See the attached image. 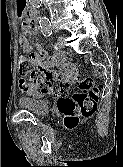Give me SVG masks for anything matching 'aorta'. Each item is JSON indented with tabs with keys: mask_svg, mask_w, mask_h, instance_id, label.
<instances>
[{
	"mask_svg": "<svg viewBox=\"0 0 123 167\" xmlns=\"http://www.w3.org/2000/svg\"><path fill=\"white\" fill-rule=\"evenodd\" d=\"M32 4L36 7H40L42 5V0H31ZM39 25L41 28V32L48 34L51 32V24L46 17H41L39 20Z\"/></svg>",
	"mask_w": 123,
	"mask_h": 167,
	"instance_id": "aorta-1",
	"label": "aorta"
}]
</instances>
